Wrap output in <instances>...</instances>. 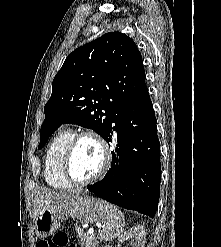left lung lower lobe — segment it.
Wrapping results in <instances>:
<instances>
[{
    "label": "left lung lower lobe",
    "mask_w": 221,
    "mask_h": 247,
    "mask_svg": "<svg viewBox=\"0 0 221 247\" xmlns=\"http://www.w3.org/2000/svg\"><path fill=\"white\" fill-rule=\"evenodd\" d=\"M149 99L120 109L112 118L105 140L117 138L112 166L88 190L129 210L154 217L160 193V143ZM112 124H114L112 126Z\"/></svg>",
    "instance_id": "0a47b994"
}]
</instances>
